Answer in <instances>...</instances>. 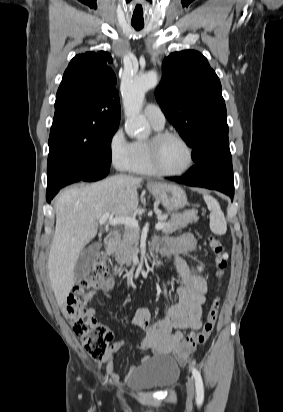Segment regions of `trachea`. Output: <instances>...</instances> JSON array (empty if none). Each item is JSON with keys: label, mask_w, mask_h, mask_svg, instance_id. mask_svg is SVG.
Wrapping results in <instances>:
<instances>
[{"label": "trachea", "mask_w": 283, "mask_h": 412, "mask_svg": "<svg viewBox=\"0 0 283 412\" xmlns=\"http://www.w3.org/2000/svg\"><path fill=\"white\" fill-rule=\"evenodd\" d=\"M132 26L136 29V30H141L144 27V24L142 23H132Z\"/></svg>", "instance_id": "3493384b"}]
</instances>
